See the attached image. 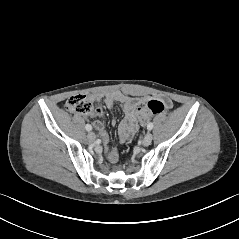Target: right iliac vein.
<instances>
[{"label":"right iliac vein","mask_w":239,"mask_h":239,"mask_svg":"<svg viewBox=\"0 0 239 239\" xmlns=\"http://www.w3.org/2000/svg\"><path fill=\"white\" fill-rule=\"evenodd\" d=\"M87 138L90 140V141H94L96 139V135L94 132L90 131L88 132L87 134Z\"/></svg>","instance_id":"obj_1"}]
</instances>
